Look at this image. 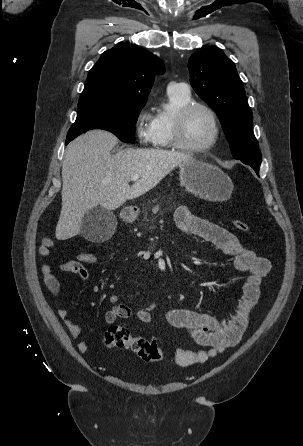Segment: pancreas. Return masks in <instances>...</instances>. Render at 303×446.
Wrapping results in <instances>:
<instances>
[{
	"label": "pancreas",
	"mask_w": 303,
	"mask_h": 446,
	"mask_svg": "<svg viewBox=\"0 0 303 446\" xmlns=\"http://www.w3.org/2000/svg\"><path fill=\"white\" fill-rule=\"evenodd\" d=\"M152 211H153V213H157L158 211H159V206L157 205V206H155L153 209H152ZM145 219L147 220V218L145 217ZM148 221V220H147Z\"/></svg>",
	"instance_id": "obj_1"
}]
</instances>
